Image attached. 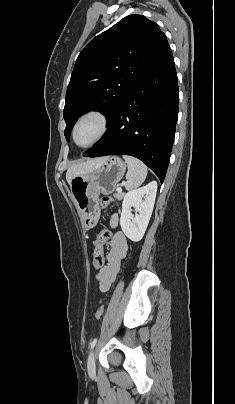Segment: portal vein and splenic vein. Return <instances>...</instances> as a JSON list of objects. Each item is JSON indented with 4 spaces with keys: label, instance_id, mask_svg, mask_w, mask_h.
<instances>
[{
    "label": "portal vein and splenic vein",
    "instance_id": "1",
    "mask_svg": "<svg viewBox=\"0 0 235 404\" xmlns=\"http://www.w3.org/2000/svg\"><path fill=\"white\" fill-rule=\"evenodd\" d=\"M117 191H118V192H122V188H121V187H118V188H117Z\"/></svg>",
    "mask_w": 235,
    "mask_h": 404
}]
</instances>
